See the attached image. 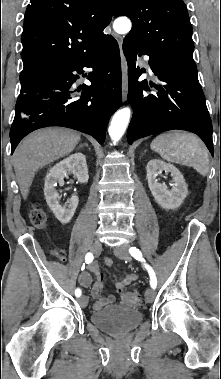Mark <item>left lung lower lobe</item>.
Instances as JSON below:
<instances>
[{
	"label": "left lung lower lobe",
	"instance_id": "obj_1",
	"mask_svg": "<svg viewBox=\"0 0 221 379\" xmlns=\"http://www.w3.org/2000/svg\"><path fill=\"white\" fill-rule=\"evenodd\" d=\"M123 51L129 67L128 100L134 109L127 132L129 144L145 136L181 129L196 133L213 155L212 123L197 70L166 62L130 37L124 39ZM145 54L160 81L158 85L150 84L158 90L156 94L143 91L149 90L146 80L137 81L141 71L135 67V60L137 55Z\"/></svg>",
	"mask_w": 221,
	"mask_h": 379
}]
</instances>
